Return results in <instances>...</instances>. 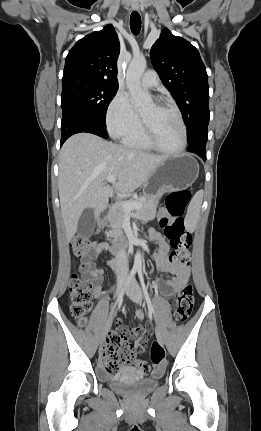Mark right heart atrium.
<instances>
[{
    "instance_id": "d8ad5b80",
    "label": "right heart atrium",
    "mask_w": 261,
    "mask_h": 431,
    "mask_svg": "<svg viewBox=\"0 0 261 431\" xmlns=\"http://www.w3.org/2000/svg\"><path fill=\"white\" fill-rule=\"evenodd\" d=\"M106 124L110 134L115 138H123L140 126L139 115L124 91H118L109 103Z\"/></svg>"
}]
</instances>
